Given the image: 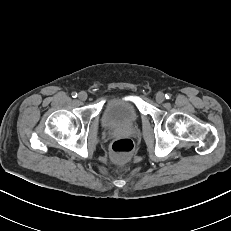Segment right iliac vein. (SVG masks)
<instances>
[{
  "mask_svg": "<svg viewBox=\"0 0 231 231\" xmlns=\"http://www.w3.org/2000/svg\"><path fill=\"white\" fill-rule=\"evenodd\" d=\"M88 95L85 91H81L79 94H78V98L79 100L81 101H85L87 99Z\"/></svg>",
  "mask_w": 231,
  "mask_h": 231,
  "instance_id": "right-iliac-vein-1",
  "label": "right iliac vein"
}]
</instances>
